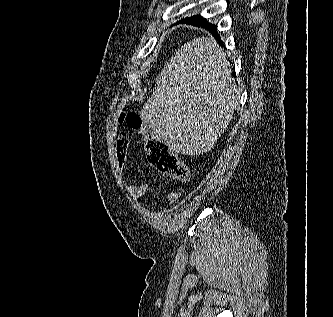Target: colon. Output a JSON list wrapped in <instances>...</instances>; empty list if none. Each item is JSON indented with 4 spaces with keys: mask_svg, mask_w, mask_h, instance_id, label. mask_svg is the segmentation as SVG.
<instances>
[{
    "mask_svg": "<svg viewBox=\"0 0 333 317\" xmlns=\"http://www.w3.org/2000/svg\"><path fill=\"white\" fill-rule=\"evenodd\" d=\"M121 122L144 134V147L148 161L162 173L178 182H188L190 171L187 165L155 133L145 128L141 117L135 113L124 114Z\"/></svg>",
    "mask_w": 333,
    "mask_h": 317,
    "instance_id": "obj_1",
    "label": "colon"
}]
</instances>
